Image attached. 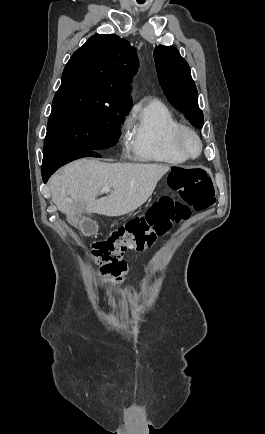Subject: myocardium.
Here are the masks:
<instances>
[{"label":"myocardium","instance_id":"1","mask_svg":"<svg viewBox=\"0 0 265 434\" xmlns=\"http://www.w3.org/2000/svg\"><path fill=\"white\" fill-rule=\"evenodd\" d=\"M188 137L193 138L199 146V150H198V153L196 155H189L184 150V140ZM174 143H175V147H176L178 154L185 161L196 160L199 157H201V155L204 152L205 145H204L203 140L201 139V137L198 135V133L194 129H192L188 126H182L181 127L178 134L174 137Z\"/></svg>","mask_w":265,"mask_h":434}]
</instances>
